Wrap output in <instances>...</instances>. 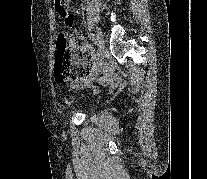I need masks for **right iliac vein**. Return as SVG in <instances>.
Here are the masks:
<instances>
[{
    "mask_svg": "<svg viewBox=\"0 0 207 179\" xmlns=\"http://www.w3.org/2000/svg\"><path fill=\"white\" fill-rule=\"evenodd\" d=\"M95 39L98 43V55H99V58H100L99 62L102 65L104 63L105 44H104V41H103L102 33L99 29L96 30ZM99 73H100V71H96L95 74H94V77L90 78V80L86 83L85 86L89 87L91 82L96 79V77L99 75Z\"/></svg>",
    "mask_w": 207,
    "mask_h": 179,
    "instance_id": "63e3f726",
    "label": "right iliac vein"
}]
</instances>
